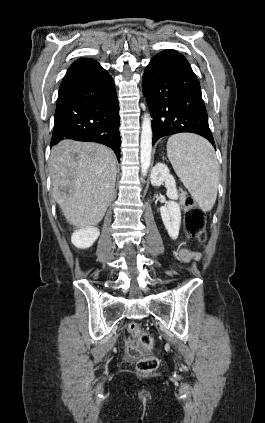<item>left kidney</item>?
Segmentation results:
<instances>
[{"label": "left kidney", "mask_w": 265, "mask_h": 423, "mask_svg": "<svg viewBox=\"0 0 265 423\" xmlns=\"http://www.w3.org/2000/svg\"><path fill=\"white\" fill-rule=\"evenodd\" d=\"M151 183L153 186H161L165 184L167 188V197L170 201L166 206L160 208V213L164 226L172 239H176L179 235L181 224L180 205L175 201L178 199V191L174 177L164 163H157L152 169Z\"/></svg>", "instance_id": "5707ae66"}]
</instances>
